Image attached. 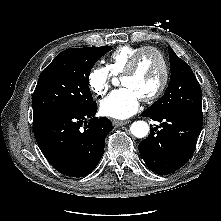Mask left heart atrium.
Returning <instances> with one entry per match:
<instances>
[{"label":"left heart atrium","mask_w":221,"mask_h":221,"mask_svg":"<svg viewBox=\"0 0 221 221\" xmlns=\"http://www.w3.org/2000/svg\"><path fill=\"white\" fill-rule=\"evenodd\" d=\"M140 99L132 88L124 86L114 90L100 102V112L115 119H125L137 112Z\"/></svg>","instance_id":"1"}]
</instances>
